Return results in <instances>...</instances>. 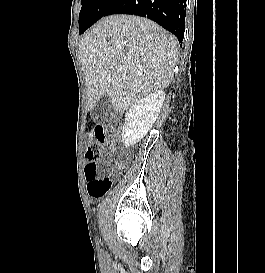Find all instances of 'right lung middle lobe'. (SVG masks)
<instances>
[{"label": "right lung middle lobe", "instance_id": "dd1d6c3e", "mask_svg": "<svg viewBox=\"0 0 265 273\" xmlns=\"http://www.w3.org/2000/svg\"><path fill=\"white\" fill-rule=\"evenodd\" d=\"M115 0H81L79 13V33L82 34L92 24L105 16Z\"/></svg>", "mask_w": 265, "mask_h": 273}]
</instances>
